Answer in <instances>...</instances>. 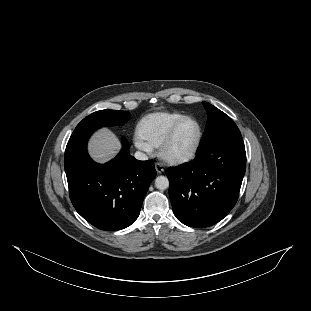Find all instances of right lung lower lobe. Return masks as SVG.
<instances>
[{"label":"right lung lower lobe","mask_w":311,"mask_h":311,"mask_svg":"<svg viewBox=\"0 0 311 311\" xmlns=\"http://www.w3.org/2000/svg\"><path fill=\"white\" fill-rule=\"evenodd\" d=\"M97 129L74 131L68 141L64 167L69 195L76 211L93 226L121 230L137 219L156 170L152 160L138 161L129 154L125 138L113 160L95 163L87 153V141Z\"/></svg>","instance_id":"obj_1"}]
</instances>
